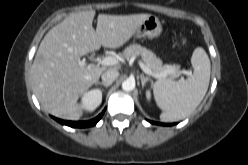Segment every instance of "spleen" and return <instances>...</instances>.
Returning <instances> with one entry per match:
<instances>
[{
  "mask_svg": "<svg viewBox=\"0 0 248 165\" xmlns=\"http://www.w3.org/2000/svg\"><path fill=\"white\" fill-rule=\"evenodd\" d=\"M193 75L186 80L160 79L153 85L154 98L162 110V122H174L189 116L203 100L209 86L211 64L202 47L191 57Z\"/></svg>",
  "mask_w": 248,
  "mask_h": 165,
  "instance_id": "spleen-1",
  "label": "spleen"
}]
</instances>
